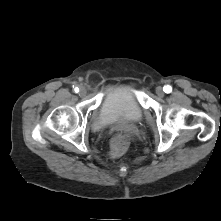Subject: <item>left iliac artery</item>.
I'll return each mask as SVG.
<instances>
[{"instance_id":"left-iliac-artery-1","label":"left iliac artery","mask_w":221,"mask_h":221,"mask_svg":"<svg viewBox=\"0 0 221 221\" xmlns=\"http://www.w3.org/2000/svg\"><path fill=\"white\" fill-rule=\"evenodd\" d=\"M163 90L165 93H170L172 91V87L170 85H166L164 86Z\"/></svg>"}]
</instances>
